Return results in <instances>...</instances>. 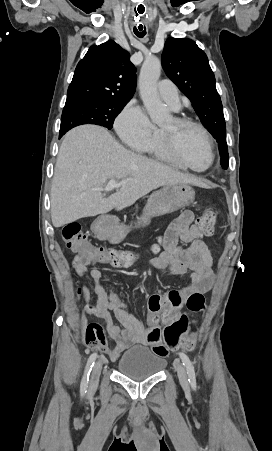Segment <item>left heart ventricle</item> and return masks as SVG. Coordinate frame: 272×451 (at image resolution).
Segmentation results:
<instances>
[{"instance_id": "obj_1", "label": "left heart ventricle", "mask_w": 272, "mask_h": 451, "mask_svg": "<svg viewBox=\"0 0 272 451\" xmlns=\"http://www.w3.org/2000/svg\"><path fill=\"white\" fill-rule=\"evenodd\" d=\"M169 140L172 139L180 150L182 162L194 170L206 169L211 161L210 152L201 136L194 128L179 126L169 119L164 125Z\"/></svg>"}]
</instances>
